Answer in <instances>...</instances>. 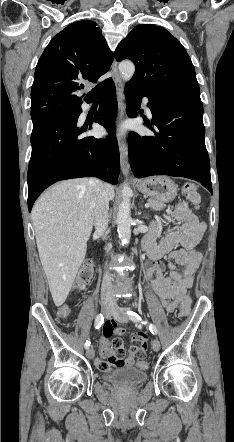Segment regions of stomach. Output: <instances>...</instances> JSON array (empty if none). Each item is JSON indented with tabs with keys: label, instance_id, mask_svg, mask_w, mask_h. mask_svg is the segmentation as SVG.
Returning <instances> with one entry per match:
<instances>
[{
	"label": "stomach",
	"instance_id": "0dacf381",
	"mask_svg": "<svg viewBox=\"0 0 234 442\" xmlns=\"http://www.w3.org/2000/svg\"><path fill=\"white\" fill-rule=\"evenodd\" d=\"M137 189L152 199L168 203L177 195V185L168 177L155 176L139 181Z\"/></svg>",
	"mask_w": 234,
	"mask_h": 442
}]
</instances>
